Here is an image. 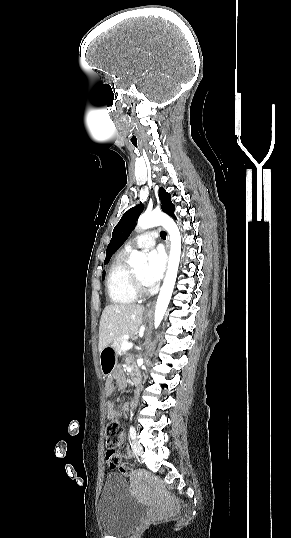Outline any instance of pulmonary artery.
I'll use <instances>...</instances> for the list:
<instances>
[{
    "instance_id": "1",
    "label": "pulmonary artery",
    "mask_w": 291,
    "mask_h": 538,
    "mask_svg": "<svg viewBox=\"0 0 291 538\" xmlns=\"http://www.w3.org/2000/svg\"><path fill=\"white\" fill-rule=\"evenodd\" d=\"M158 234L156 231H149L142 235L137 236L134 240L126 245V249L132 251L135 248L148 250L152 248L156 243Z\"/></svg>"
}]
</instances>
